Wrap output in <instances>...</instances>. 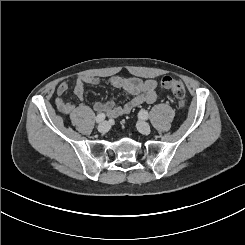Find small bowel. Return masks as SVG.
<instances>
[{
	"label": "small bowel",
	"instance_id": "obj_1",
	"mask_svg": "<svg viewBox=\"0 0 245 245\" xmlns=\"http://www.w3.org/2000/svg\"><path fill=\"white\" fill-rule=\"evenodd\" d=\"M99 82L100 79L96 76L81 75L76 77L72 82L63 81L57 87L56 106L58 110L68 115L72 123L78 127L82 126L90 109L83 104L75 105L67 101L64 96L71 88L73 93L80 100H83L85 85H97ZM110 84L130 97V100L121 106L115 105L111 100L95 104L94 109L96 111H103L111 118L127 114L141 104L155 103L160 98L162 92L161 83L154 79L143 80L114 76L110 79Z\"/></svg>",
	"mask_w": 245,
	"mask_h": 245
}]
</instances>
